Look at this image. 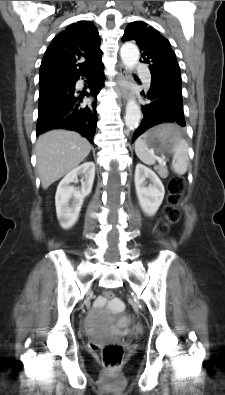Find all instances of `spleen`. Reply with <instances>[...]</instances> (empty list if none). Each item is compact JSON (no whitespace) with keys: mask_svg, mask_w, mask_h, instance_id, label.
Instances as JSON below:
<instances>
[{"mask_svg":"<svg viewBox=\"0 0 225 395\" xmlns=\"http://www.w3.org/2000/svg\"><path fill=\"white\" fill-rule=\"evenodd\" d=\"M146 133L140 136L135 142V153L137 157L147 165H153L156 158L153 150L149 149L146 143ZM173 152V170L175 173L182 175L188 168V144L183 138H179L172 148Z\"/></svg>","mask_w":225,"mask_h":395,"instance_id":"1","label":"spleen"}]
</instances>
